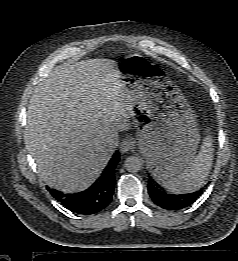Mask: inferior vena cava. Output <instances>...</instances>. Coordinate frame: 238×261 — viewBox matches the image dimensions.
<instances>
[{
  "mask_svg": "<svg viewBox=\"0 0 238 261\" xmlns=\"http://www.w3.org/2000/svg\"><path fill=\"white\" fill-rule=\"evenodd\" d=\"M118 146V140H109L107 142V149L109 152L113 153L115 151V148Z\"/></svg>",
  "mask_w": 238,
  "mask_h": 261,
  "instance_id": "obj_1",
  "label": "inferior vena cava"
}]
</instances>
